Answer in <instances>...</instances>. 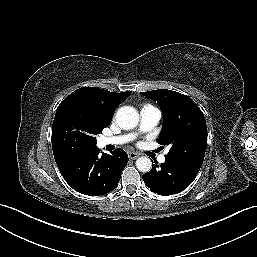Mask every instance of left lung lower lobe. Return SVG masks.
I'll return each instance as SVG.
<instances>
[{
	"instance_id": "obj_1",
	"label": "left lung lower lobe",
	"mask_w": 257,
	"mask_h": 257,
	"mask_svg": "<svg viewBox=\"0 0 257 257\" xmlns=\"http://www.w3.org/2000/svg\"><path fill=\"white\" fill-rule=\"evenodd\" d=\"M201 165L187 159L166 156L160 166L157 163L143 175L151 191L159 195H171L186 189L196 178Z\"/></svg>"
}]
</instances>
